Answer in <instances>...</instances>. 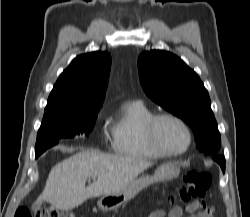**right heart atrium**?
I'll use <instances>...</instances> for the list:
<instances>
[{
  "label": "right heart atrium",
  "mask_w": 250,
  "mask_h": 217,
  "mask_svg": "<svg viewBox=\"0 0 250 217\" xmlns=\"http://www.w3.org/2000/svg\"><path fill=\"white\" fill-rule=\"evenodd\" d=\"M104 115H105L104 111L100 110L97 114L96 122L101 121L104 118Z\"/></svg>",
  "instance_id": "d8ad5b80"
}]
</instances>
